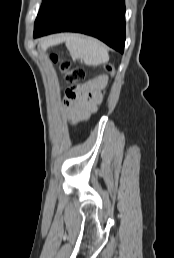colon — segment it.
<instances>
[{
    "instance_id": "5ec220e1",
    "label": "colon",
    "mask_w": 174,
    "mask_h": 258,
    "mask_svg": "<svg viewBox=\"0 0 174 258\" xmlns=\"http://www.w3.org/2000/svg\"><path fill=\"white\" fill-rule=\"evenodd\" d=\"M50 58L54 63L59 64L64 80L70 84V87L67 90L68 95L76 97L80 92L82 86L81 82L85 78V70L81 67H71L69 62L60 61L56 55H51ZM105 69L109 74L114 75L115 69L112 64H106Z\"/></svg>"
}]
</instances>
